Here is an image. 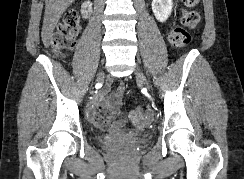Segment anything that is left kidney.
I'll use <instances>...</instances> for the list:
<instances>
[{"label":"left kidney","mask_w":244,"mask_h":179,"mask_svg":"<svg viewBox=\"0 0 244 179\" xmlns=\"http://www.w3.org/2000/svg\"><path fill=\"white\" fill-rule=\"evenodd\" d=\"M172 8V0H153L152 2L153 14L158 22H166L171 16Z\"/></svg>","instance_id":"5707ae66"}]
</instances>
